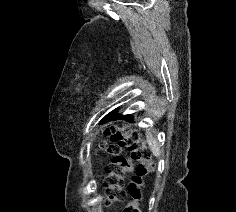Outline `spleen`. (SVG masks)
Masks as SVG:
<instances>
[{
	"label": "spleen",
	"mask_w": 236,
	"mask_h": 212,
	"mask_svg": "<svg viewBox=\"0 0 236 212\" xmlns=\"http://www.w3.org/2000/svg\"><path fill=\"white\" fill-rule=\"evenodd\" d=\"M146 139L149 147L151 148L152 153L158 157L160 155V147L156 141V139L153 137L151 132L147 131L146 133Z\"/></svg>",
	"instance_id": "3e777b00"
}]
</instances>
